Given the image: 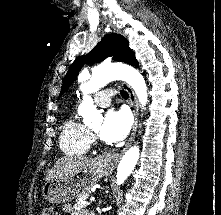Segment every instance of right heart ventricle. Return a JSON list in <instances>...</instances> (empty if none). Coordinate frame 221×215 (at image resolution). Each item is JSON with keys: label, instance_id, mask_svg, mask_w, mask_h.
<instances>
[{"label": "right heart ventricle", "instance_id": "obj_1", "mask_svg": "<svg viewBox=\"0 0 221 215\" xmlns=\"http://www.w3.org/2000/svg\"><path fill=\"white\" fill-rule=\"evenodd\" d=\"M92 144V135L89 128L70 117L62 126L60 134V148L68 155L86 154Z\"/></svg>", "mask_w": 221, "mask_h": 215}]
</instances>
